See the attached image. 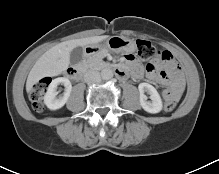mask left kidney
Returning a JSON list of instances; mask_svg holds the SVG:
<instances>
[{"label":"left kidney","instance_id":"obj_1","mask_svg":"<svg viewBox=\"0 0 219 174\" xmlns=\"http://www.w3.org/2000/svg\"><path fill=\"white\" fill-rule=\"evenodd\" d=\"M140 92V105L148 113H159L162 110V100L157 90L148 83H140L138 86ZM147 92L151 101H147Z\"/></svg>","mask_w":219,"mask_h":174}]
</instances>
